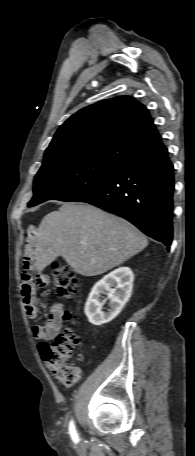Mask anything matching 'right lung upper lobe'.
<instances>
[{
    "instance_id": "1",
    "label": "right lung upper lobe",
    "mask_w": 195,
    "mask_h": 456,
    "mask_svg": "<svg viewBox=\"0 0 195 456\" xmlns=\"http://www.w3.org/2000/svg\"><path fill=\"white\" fill-rule=\"evenodd\" d=\"M164 145L144 105L119 96L87 106L65 121L43 163L97 159L123 165Z\"/></svg>"
}]
</instances>
